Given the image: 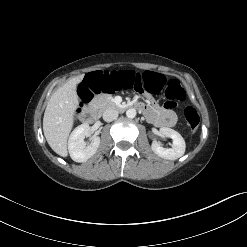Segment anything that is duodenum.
Masks as SVG:
<instances>
[{
  "mask_svg": "<svg viewBox=\"0 0 247 247\" xmlns=\"http://www.w3.org/2000/svg\"><path fill=\"white\" fill-rule=\"evenodd\" d=\"M118 108L121 110L126 109V108H134L140 111L145 110L144 104L141 102H137V101L131 102L127 105H120ZM98 117H99L98 110L93 105L88 106L82 114V119L86 123H93L98 120Z\"/></svg>",
  "mask_w": 247,
  "mask_h": 247,
  "instance_id": "duodenum-1",
  "label": "duodenum"
}]
</instances>
